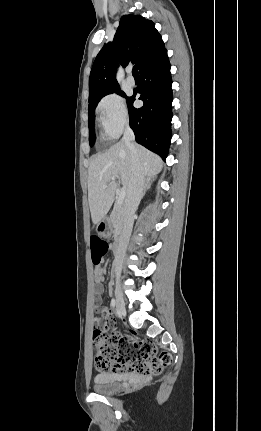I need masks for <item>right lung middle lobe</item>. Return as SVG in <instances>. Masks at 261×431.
<instances>
[{"mask_svg": "<svg viewBox=\"0 0 261 431\" xmlns=\"http://www.w3.org/2000/svg\"><path fill=\"white\" fill-rule=\"evenodd\" d=\"M116 92L117 94L126 97V95L120 91V87L116 86L113 88H110L104 92H101L93 97L89 98V105H88V114H89V120H88V126H89V144L90 146H93L94 142H95V132H94V111L95 108L98 104V102L100 101V99L102 97H104L105 95L111 94ZM128 99V97H127Z\"/></svg>", "mask_w": 261, "mask_h": 431, "instance_id": "1", "label": "right lung middle lobe"}]
</instances>
